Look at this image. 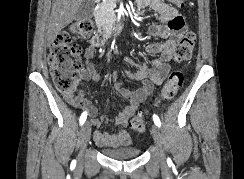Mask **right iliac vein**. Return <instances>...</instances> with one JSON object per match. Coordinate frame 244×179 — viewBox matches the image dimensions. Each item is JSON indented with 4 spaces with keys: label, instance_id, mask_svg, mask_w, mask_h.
Returning a JSON list of instances; mask_svg holds the SVG:
<instances>
[{
    "label": "right iliac vein",
    "instance_id": "63e3f726",
    "mask_svg": "<svg viewBox=\"0 0 244 179\" xmlns=\"http://www.w3.org/2000/svg\"><path fill=\"white\" fill-rule=\"evenodd\" d=\"M90 136H91L90 123L86 122L82 126L81 132H80V150H81V153L79 155L80 162L83 161V158H84L83 152H84V150L86 148V145H87L88 141L90 140Z\"/></svg>",
    "mask_w": 244,
    "mask_h": 179
}]
</instances>
